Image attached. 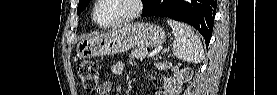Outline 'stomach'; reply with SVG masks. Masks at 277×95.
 <instances>
[{"mask_svg": "<svg viewBox=\"0 0 277 95\" xmlns=\"http://www.w3.org/2000/svg\"><path fill=\"white\" fill-rule=\"evenodd\" d=\"M166 39L164 30L155 24L134 23L84 39L77 44V56L81 59L113 55L134 47L152 48Z\"/></svg>", "mask_w": 277, "mask_h": 95, "instance_id": "0dacf381", "label": "stomach"}]
</instances>
